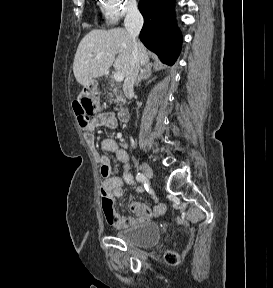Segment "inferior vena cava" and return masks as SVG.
<instances>
[{"instance_id": "602c4592", "label": "inferior vena cava", "mask_w": 273, "mask_h": 288, "mask_svg": "<svg viewBox=\"0 0 273 288\" xmlns=\"http://www.w3.org/2000/svg\"><path fill=\"white\" fill-rule=\"evenodd\" d=\"M124 26L133 41L130 66L123 85L124 93L127 96H130L133 95L134 84L137 80L138 72L140 69L136 37L139 35L140 30L143 26V17L136 5L128 8L127 15L124 20Z\"/></svg>"}]
</instances>
